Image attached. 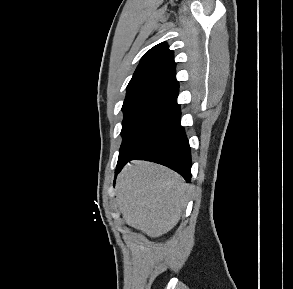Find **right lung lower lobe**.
<instances>
[{"label":"right lung lower lobe","instance_id":"1","mask_svg":"<svg viewBox=\"0 0 293 289\" xmlns=\"http://www.w3.org/2000/svg\"><path fill=\"white\" fill-rule=\"evenodd\" d=\"M181 111L154 125L147 133L125 150L120 151L116 174L130 160L143 159L167 166L191 180L190 146L180 124Z\"/></svg>","mask_w":293,"mask_h":289}]
</instances>
